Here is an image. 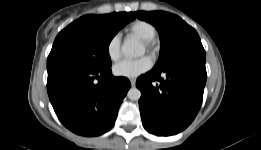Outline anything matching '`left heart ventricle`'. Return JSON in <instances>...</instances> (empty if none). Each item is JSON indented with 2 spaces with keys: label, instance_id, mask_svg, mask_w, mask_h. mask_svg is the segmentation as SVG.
I'll return each instance as SVG.
<instances>
[{
  "label": "left heart ventricle",
  "instance_id": "left-heart-ventricle-1",
  "mask_svg": "<svg viewBox=\"0 0 261 150\" xmlns=\"http://www.w3.org/2000/svg\"><path fill=\"white\" fill-rule=\"evenodd\" d=\"M144 50H145V48H144V46H143L142 51H144Z\"/></svg>",
  "mask_w": 261,
  "mask_h": 150
}]
</instances>
